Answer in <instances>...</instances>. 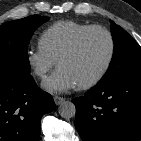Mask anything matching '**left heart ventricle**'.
<instances>
[{"mask_svg": "<svg viewBox=\"0 0 141 141\" xmlns=\"http://www.w3.org/2000/svg\"><path fill=\"white\" fill-rule=\"evenodd\" d=\"M109 40L106 34L94 31L88 34L77 51L59 64L76 84L93 78L103 67L109 54Z\"/></svg>", "mask_w": 141, "mask_h": 141, "instance_id": "left-heart-ventricle-1", "label": "left heart ventricle"}]
</instances>
